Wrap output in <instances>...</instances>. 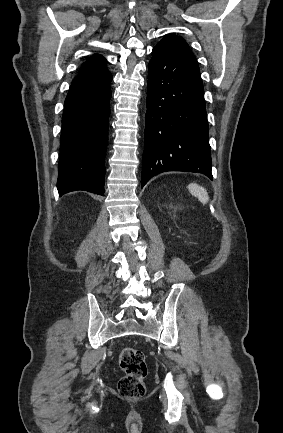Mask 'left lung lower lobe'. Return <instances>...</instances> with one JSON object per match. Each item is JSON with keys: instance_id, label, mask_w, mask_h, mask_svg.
Wrapping results in <instances>:
<instances>
[{"instance_id": "1", "label": "left lung lower lobe", "mask_w": 283, "mask_h": 433, "mask_svg": "<svg viewBox=\"0 0 283 433\" xmlns=\"http://www.w3.org/2000/svg\"><path fill=\"white\" fill-rule=\"evenodd\" d=\"M142 187L167 171L212 179L204 89L195 56L156 45L149 63Z\"/></svg>"}]
</instances>
